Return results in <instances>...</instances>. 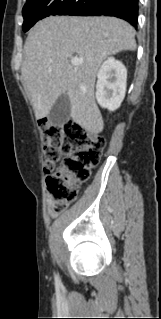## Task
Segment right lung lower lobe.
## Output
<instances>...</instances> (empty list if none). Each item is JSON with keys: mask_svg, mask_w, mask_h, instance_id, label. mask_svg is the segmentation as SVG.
<instances>
[{"mask_svg": "<svg viewBox=\"0 0 161 319\" xmlns=\"http://www.w3.org/2000/svg\"><path fill=\"white\" fill-rule=\"evenodd\" d=\"M139 0H86L72 16H115L126 20L135 28L138 18Z\"/></svg>", "mask_w": 161, "mask_h": 319, "instance_id": "1", "label": "right lung lower lobe"}]
</instances>
